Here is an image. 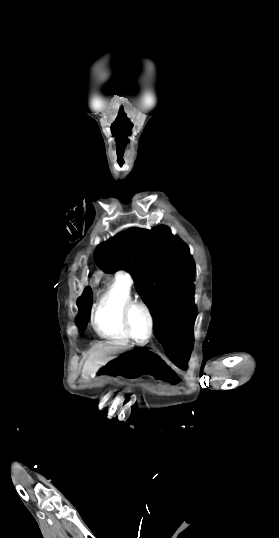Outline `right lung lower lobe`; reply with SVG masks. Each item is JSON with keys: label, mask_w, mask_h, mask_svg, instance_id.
<instances>
[{"label": "right lung lower lobe", "mask_w": 279, "mask_h": 538, "mask_svg": "<svg viewBox=\"0 0 279 538\" xmlns=\"http://www.w3.org/2000/svg\"><path fill=\"white\" fill-rule=\"evenodd\" d=\"M92 301V290L88 286L85 288L81 297L77 300V306L79 307L80 313L77 318L76 324L78 327L85 328L87 325V311L88 307L91 305Z\"/></svg>", "instance_id": "obj_1"}]
</instances>
